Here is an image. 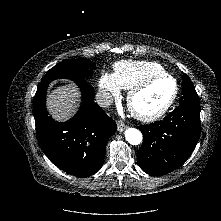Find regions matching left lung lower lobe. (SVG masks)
Wrapping results in <instances>:
<instances>
[{
    "label": "left lung lower lobe",
    "mask_w": 221,
    "mask_h": 221,
    "mask_svg": "<svg viewBox=\"0 0 221 221\" xmlns=\"http://www.w3.org/2000/svg\"><path fill=\"white\" fill-rule=\"evenodd\" d=\"M143 144L138 151L141 169L163 175L180 167L192 154L201 132L200 106L179 105L163 120L141 125Z\"/></svg>",
    "instance_id": "0a47b994"
}]
</instances>
